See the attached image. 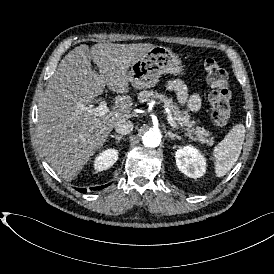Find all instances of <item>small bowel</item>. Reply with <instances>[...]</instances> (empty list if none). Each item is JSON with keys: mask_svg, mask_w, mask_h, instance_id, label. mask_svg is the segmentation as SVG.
<instances>
[{"mask_svg": "<svg viewBox=\"0 0 274 274\" xmlns=\"http://www.w3.org/2000/svg\"><path fill=\"white\" fill-rule=\"evenodd\" d=\"M167 89L176 94L180 103L186 105L191 111H197L201 100L197 94H189L185 83L180 79H172L167 83Z\"/></svg>", "mask_w": 274, "mask_h": 274, "instance_id": "small-bowel-1", "label": "small bowel"}]
</instances>
